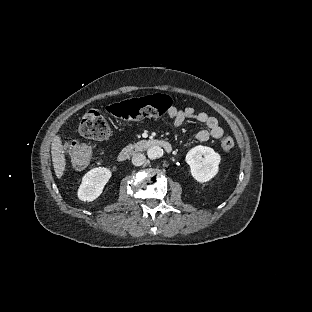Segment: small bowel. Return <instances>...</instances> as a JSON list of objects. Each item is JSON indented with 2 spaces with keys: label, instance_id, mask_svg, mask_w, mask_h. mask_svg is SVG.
<instances>
[{
  "label": "small bowel",
  "instance_id": "1",
  "mask_svg": "<svg viewBox=\"0 0 312 312\" xmlns=\"http://www.w3.org/2000/svg\"><path fill=\"white\" fill-rule=\"evenodd\" d=\"M167 117L173 129H180L187 120H193L204 124L206 129L200 130L196 134V139L205 142L209 139H219L223 136L224 130L218 119L206 112L197 111L193 107L178 108L171 106L167 110Z\"/></svg>",
  "mask_w": 312,
  "mask_h": 312
}]
</instances>
